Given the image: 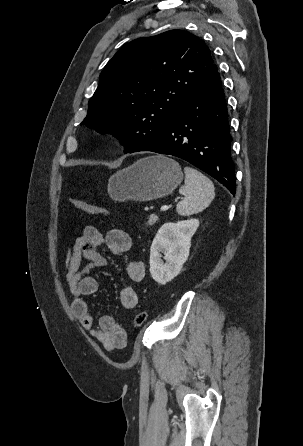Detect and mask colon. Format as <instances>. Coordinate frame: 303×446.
I'll use <instances>...</instances> for the list:
<instances>
[{"label": "colon", "instance_id": "colon-1", "mask_svg": "<svg viewBox=\"0 0 303 446\" xmlns=\"http://www.w3.org/2000/svg\"><path fill=\"white\" fill-rule=\"evenodd\" d=\"M70 202L75 208L87 214L102 215V216L107 215L106 209L99 207L95 204L89 203L87 201H84L82 199L72 198L70 199ZM146 319H147V313L145 311H140L135 316L134 325L136 327H140L145 323Z\"/></svg>", "mask_w": 303, "mask_h": 446}]
</instances>
